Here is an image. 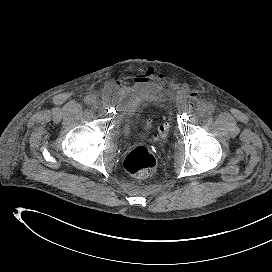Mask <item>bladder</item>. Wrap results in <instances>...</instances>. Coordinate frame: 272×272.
<instances>
[{
	"label": "bladder",
	"instance_id": "1",
	"mask_svg": "<svg viewBox=\"0 0 272 272\" xmlns=\"http://www.w3.org/2000/svg\"><path fill=\"white\" fill-rule=\"evenodd\" d=\"M125 113H123V128L125 134L131 136L136 133V124L134 119V110L130 104L125 105Z\"/></svg>",
	"mask_w": 272,
	"mask_h": 272
}]
</instances>
